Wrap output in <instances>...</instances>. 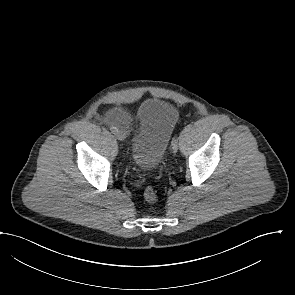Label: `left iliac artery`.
Returning a JSON list of instances; mask_svg holds the SVG:
<instances>
[{"instance_id":"obj_1","label":"left iliac artery","mask_w":295,"mask_h":295,"mask_svg":"<svg viewBox=\"0 0 295 295\" xmlns=\"http://www.w3.org/2000/svg\"><path fill=\"white\" fill-rule=\"evenodd\" d=\"M176 142H178V138H177V136H174L173 139H172V144L176 143Z\"/></svg>"}]
</instances>
